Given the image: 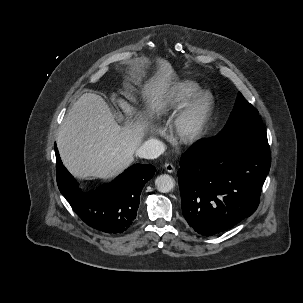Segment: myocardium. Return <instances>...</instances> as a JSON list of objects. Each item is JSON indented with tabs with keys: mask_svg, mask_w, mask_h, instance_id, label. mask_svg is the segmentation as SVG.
Instances as JSON below:
<instances>
[{
	"mask_svg": "<svg viewBox=\"0 0 303 303\" xmlns=\"http://www.w3.org/2000/svg\"><path fill=\"white\" fill-rule=\"evenodd\" d=\"M214 96L204 90L198 92L177 114L174 132L183 143H193L203 134L214 109Z\"/></svg>",
	"mask_w": 303,
	"mask_h": 303,
	"instance_id": "1",
	"label": "myocardium"
}]
</instances>
